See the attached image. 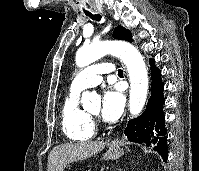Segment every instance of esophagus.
<instances>
[{"instance_id":"34e87169","label":"esophagus","mask_w":199,"mask_h":171,"mask_svg":"<svg viewBox=\"0 0 199 171\" xmlns=\"http://www.w3.org/2000/svg\"><path fill=\"white\" fill-rule=\"evenodd\" d=\"M117 143H118V141H114V142H113V144H117Z\"/></svg>"}]
</instances>
